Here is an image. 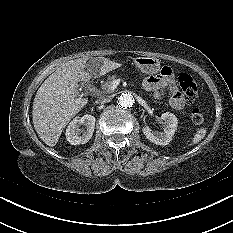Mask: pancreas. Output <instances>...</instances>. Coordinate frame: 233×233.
Wrapping results in <instances>:
<instances>
[{"mask_svg": "<svg viewBox=\"0 0 233 233\" xmlns=\"http://www.w3.org/2000/svg\"><path fill=\"white\" fill-rule=\"evenodd\" d=\"M116 76H110L108 77L107 81L103 82L101 84V94H110L113 92V89L111 88L112 82L115 80Z\"/></svg>", "mask_w": 233, "mask_h": 233, "instance_id": "1", "label": "pancreas"}]
</instances>
